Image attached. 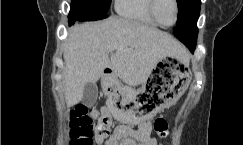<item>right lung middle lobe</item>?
<instances>
[{
	"instance_id": "dd1d6c3e",
	"label": "right lung middle lobe",
	"mask_w": 243,
	"mask_h": 145,
	"mask_svg": "<svg viewBox=\"0 0 243 145\" xmlns=\"http://www.w3.org/2000/svg\"><path fill=\"white\" fill-rule=\"evenodd\" d=\"M111 0H73L71 6H84L93 8L96 11L107 13Z\"/></svg>"
}]
</instances>
